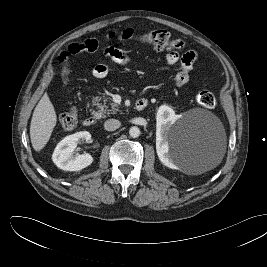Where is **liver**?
<instances>
[{"label":"liver","mask_w":267,"mask_h":267,"mask_svg":"<svg viewBox=\"0 0 267 267\" xmlns=\"http://www.w3.org/2000/svg\"><path fill=\"white\" fill-rule=\"evenodd\" d=\"M56 122L57 116L54 106L45 93L34 109L30 125V139L36 152L45 147Z\"/></svg>","instance_id":"obj_1"}]
</instances>
